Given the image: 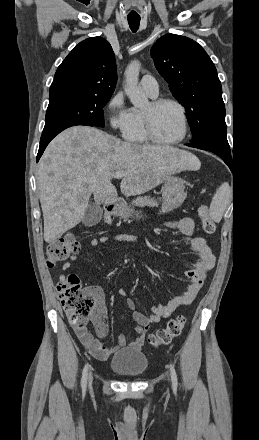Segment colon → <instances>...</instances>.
I'll list each match as a JSON object with an SVG mask.
<instances>
[{
	"label": "colon",
	"instance_id": "1",
	"mask_svg": "<svg viewBox=\"0 0 259 440\" xmlns=\"http://www.w3.org/2000/svg\"><path fill=\"white\" fill-rule=\"evenodd\" d=\"M199 217L206 234L215 232V224L211 219L206 205L199 208ZM80 250L79 241L71 234H66L55 239L47 248L46 259L49 266H54ZM57 292L62 307L70 324L75 328L86 327L92 310L95 307L94 291L92 287H82L80 279L75 274H70L57 284ZM185 319L178 316L168 322L165 328L149 336L152 346L167 345L180 335L184 328Z\"/></svg>",
	"mask_w": 259,
	"mask_h": 440
}]
</instances>
